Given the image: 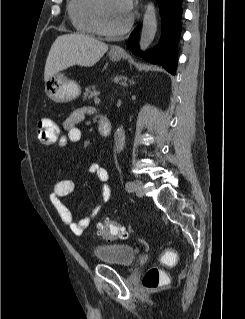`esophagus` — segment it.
Returning <instances> with one entry per match:
<instances>
[{
    "mask_svg": "<svg viewBox=\"0 0 245 319\" xmlns=\"http://www.w3.org/2000/svg\"><path fill=\"white\" fill-rule=\"evenodd\" d=\"M113 51H115L117 53H123L124 52L123 49L121 47H119V46L113 47Z\"/></svg>",
    "mask_w": 245,
    "mask_h": 319,
    "instance_id": "1",
    "label": "esophagus"
}]
</instances>
